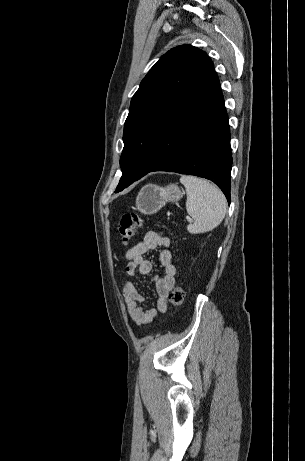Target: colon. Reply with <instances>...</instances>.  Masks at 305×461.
Returning <instances> with one entry per match:
<instances>
[{"label":"colon","mask_w":305,"mask_h":461,"mask_svg":"<svg viewBox=\"0 0 305 461\" xmlns=\"http://www.w3.org/2000/svg\"><path fill=\"white\" fill-rule=\"evenodd\" d=\"M144 225V219L135 213H125L122 215L118 227L119 236L124 244H128L133 239L135 232ZM174 307L179 308L185 299L184 288L180 285L175 286L169 295Z\"/></svg>","instance_id":"obj_1"}]
</instances>
